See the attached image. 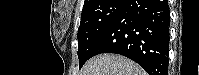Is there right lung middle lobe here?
Here are the masks:
<instances>
[{"label": "right lung middle lobe", "instance_id": "right-lung-middle-lobe-1", "mask_svg": "<svg viewBox=\"0 0 199 75\" xmlns=\"http://www.w3.org/2000/svg\"><path fill=\"white\" fill-rule=\"evenodd\" d=\"M127 0H105L103 3L82 10L78 28L79 67L93 56L100 38L115 21Z\"/></svg>", "mask_w": 199, "mask_h": 75}]
</instances>
